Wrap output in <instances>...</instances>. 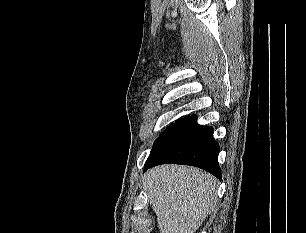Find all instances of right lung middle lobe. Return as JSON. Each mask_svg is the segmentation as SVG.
Returning <instances> with one entry per match:
<instances>
[{
  "mask_svg": "<svg viewBox=\"0 0 306 233\" xmlns=\"http://www.w3.org/2000/svg\"><path fill=\"white\" fill-rule=\"evenodd\" d=\"M197 116H189L177 121L175 124L167 128L155 141L151 153L146 162L158 156L169 144H171L191 123L196 120Z\"/></svg>",
  "mask_w": 306,
  "mask_h": 233,
  "instance_id": "right-lung-middle-lobe-1",
  "label": "right lung middle lobe"
}]
</instances>
